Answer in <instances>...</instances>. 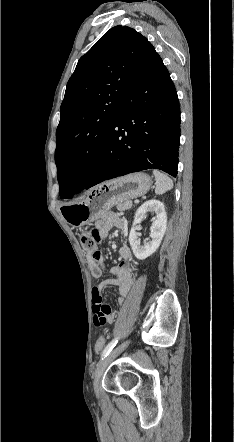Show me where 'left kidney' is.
<instances>
[{"instance_id":"left-kidney-1","label":"left kidney","mask_w":234,"mask_h":442,"mask_svg":"<svg viewBox=\"0 0 234 442\" xmlns=\"http://www.w3.org/2000/svg\"><path fill=\"white\" fill-rule=\"evenodd\" d=\"M147 212H154L156 218L153 221L150 229L151 240L149 242H145V244L141 246L140 240L138 239V234L136 232V225L141 223ZM166 224L167 214L165 212L164 204L159 200L152 199L146 201L138 208L129 234V243L137 259L144 260L158 249L166 231Z\"/></svg>"}]
</instances>
